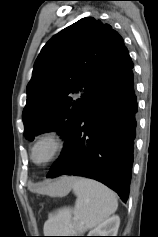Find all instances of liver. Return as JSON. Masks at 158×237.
<instances>
[{
	"mask_svg": "<svg viewBox=\"0 0 158 237\" xmlns=\"http://www.w3.org/2000/svg\"><path fill=\"white\" fill-rule=\"evenodd\" d=\"M75 179L76 178H74V177H63L60 180H58L57 182H55L54 184H50L48 186L38 188V189H36V191L41 194L54 195L55 192L62 186L66 185L68 183L73 184Z\"/></svg>",
	"mask_w": 158,
	"mask_h": 237,
	"instance_id": "6515ba94",
	"label": "liver"
}]
</instances>
